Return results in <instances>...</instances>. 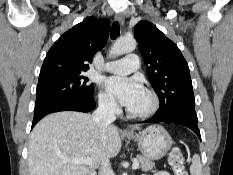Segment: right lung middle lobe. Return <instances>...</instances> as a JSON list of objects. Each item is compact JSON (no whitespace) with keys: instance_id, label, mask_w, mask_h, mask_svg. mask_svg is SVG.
<instances>
[{"instance_id":"right-lung-middle-lobe-1","label":"right lung middle lobe","mask_w":233,"mask_h":175,"mask_svg":"<svg viewBox=\"0 0 233 175\" xmlns=\"http://www.w3.org/2000/svg\"><path fill=\"white\" fill-rule=\"evenodd\" d=\"M93 96L94 86L83 73L51 75L39 78L35 105L50 100L88 101Z\"/></svg>"}]
</instances>
